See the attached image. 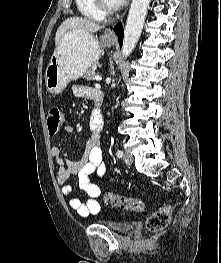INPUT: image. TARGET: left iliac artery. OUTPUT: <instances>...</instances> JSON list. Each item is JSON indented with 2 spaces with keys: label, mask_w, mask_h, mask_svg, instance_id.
Segmentation results:
<instances>
[{
  "label": "left iliac artery",
  "mask_w": 221,
  "mask_h": 263,
  "mask_svg": "<svg viewBox=\"0 0 221 263\" xmlns=\"http://www.w3.org/2000/svg\"><path fill=\"white\" fill-rule=\"evenodd\" d=\"M116 155H117L118 158H122L123 152H122L121 150H118V151L116 152Z\"/></svg>",
  "instance_id": "left-iliac-artery-1"
}]
</instances>
